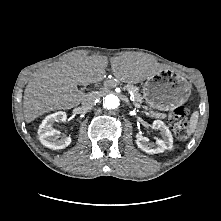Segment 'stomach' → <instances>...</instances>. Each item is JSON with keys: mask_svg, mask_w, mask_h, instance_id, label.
<instances>
[{"mask_svg": "<svg viewBox=\"0 0 221 221\" xmlns=\"http://www.w3.org/2000/svg\"><path fill=\"white\" fill-rule=\"evenodd\" d=\"M142 93L150 107L168 111L187 101L191 85L181 74L156 71L146 78Z\"/></svg>", "mask_w": 221, "mask_h": 221, "instance_id": "obj_1", "label": "stomach"}]
</instances>
